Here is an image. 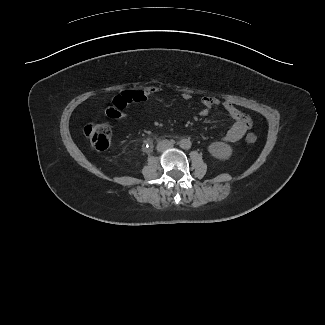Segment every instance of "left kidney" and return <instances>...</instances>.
Returning a JSON list of instances; mask_svg holds the SVG:
<instances>
[{
    "instance_id": "left-kidney-1",
    "label": "left kidney",
    "mask_w": 325,
    "mask_h": 325,
    "mask_svg": "<svg viewBox=\"0 0 325 325\" xmlns=\"http://www.w3.org/2000/svg\"><path fill=\"white\" fill-rule=\"evenodd\" d=\"M209 153L220 160H228L232 155V148L224 142H214L208 147Z\"/></svg>"
}]
</instances>
